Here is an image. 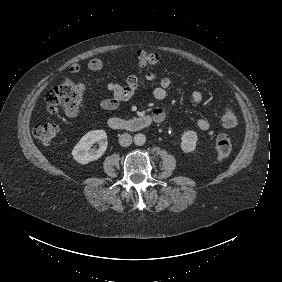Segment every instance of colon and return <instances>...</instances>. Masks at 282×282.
<instances>
[{
    "mask_svg": "<svg viewBox=\"0 0 282 282\" xmlns=\"http://www.w3.org/2000/svg\"><path fill=\"white\" fill-rule=\"evenodd\" d=\"M140 67L152 66L159 63V54L153 51L143 50L137 54ZM84 88L81 84L74 82L68 77L62 78L59 83L50 89L46 96V109L54 113L58 108H69L71 105H80L84 101ZM220 121L224 127L233 128L238 124V116L234 109L226 107L220 113ZM58 134L55 123L49 122L38 126L35 137L44 144L53 142ZM215 155L219 160L227 159L233 149L232 140L225 134H219L214 141Z\"/></svg>",
    "mask_w": 282,
    "mask_h": 282,
    "instance_id": "1",
    "label": "colon"
}]
</instances>
